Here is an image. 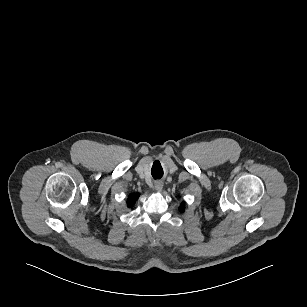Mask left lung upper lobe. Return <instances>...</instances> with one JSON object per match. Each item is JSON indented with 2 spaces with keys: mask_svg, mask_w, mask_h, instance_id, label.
Instances as JSON below:
<instances>
[{
  "mask_svg": "<svg viewBox=\"0 0 307 307\" xmlns=\"http://www.w3.org/2000/svg\"><path fill=\"white\" fill-rule=\"evenodd\" d=\"M179 209H180L181 212H183L184 209H185L184 204H182Z\"/></svg>",
  "mask_w": 307,
  "mask_h": 307,
  "instance_id": "obj_1",
  "label": "left lung upper lobe"
}]
</instances>
